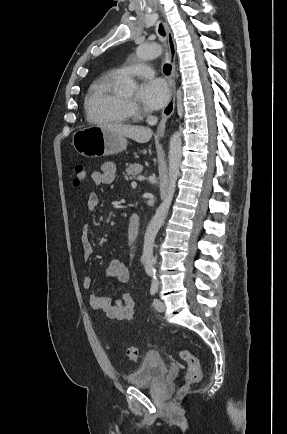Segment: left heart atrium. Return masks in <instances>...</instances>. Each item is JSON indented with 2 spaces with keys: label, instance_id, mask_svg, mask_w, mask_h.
I'll list each match as a JSON object with an SVG mask.
<instances>
[{
  "label": "left heart atrium",
  "instance_id": "1",
  "mask_svg": "<svg viewBox=\"0 0 287 434\" xmlns=\"http://www.w3.org/2000/svg\"><path fill=\"white\" fill-rule=\"evenodd\" d=\"M139 99L150 110L163 107L169 99V89L161 79L143 83L139 89Z\"/></svg>",
  "mask_w": 287,
  "mask_h": 434
}]
</instances>
